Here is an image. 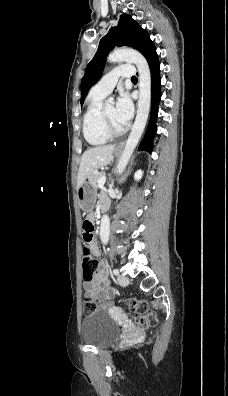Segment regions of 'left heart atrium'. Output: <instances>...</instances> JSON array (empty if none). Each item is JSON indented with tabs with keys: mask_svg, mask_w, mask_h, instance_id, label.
Instances as JSON below:
<instances>
[{
	"mask_svg": "<svg viewBox=\"0 0 228 396\" xmlns=\"http://www.w3.org/2000/svg\"><path fill=\"white\" fill-rule=\"evenodd\" d=\"M132 114V101L126 92H121L115 107V119L120 125L124 126L129 122Z\"/></svg>",
	"mask_w": 228,
	"mask_h": 396,
	"instance_id": "left-heart-atrium-1",
	"label": "left heart atrium"
}]
</instances>
